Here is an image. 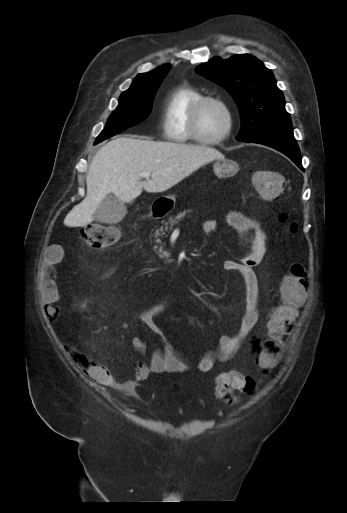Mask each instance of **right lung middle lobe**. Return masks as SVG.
I'll return each mask as SVG.
<instances>
[{
  "instance_id": "1",
  "label": "right lung middle lobe",
  "mask_w": 347,
  "mask_h": 513,
  "mask_svg": "<svg viewBox=\"0 0 347 513\" xmlns=\"http://www.w3.org/2000/svg\"><path fill=\"white\" fill-rule=\"evenodd\" d=\"M162 81L152 82L120 96L119 105L111 114L104 130L97 137L98 144L117 133L143 121L150 114L152 103Z\"/></svg>"
}]
</instances>
